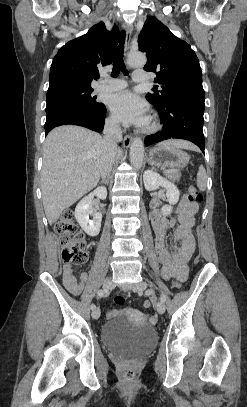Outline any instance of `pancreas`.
I'll list each match as a JSON object with an SVG mask.
<instances>
[{
    "instance_id": "1",
    "label": "pancreas",
    "mask_w": 247,
    "mask_h": 407,
    "mask_svg": "<svg viewBox=\"0 0 247 407\" xmlns=\"http://www.w3.org/2000/svg\"><path fill=\"white\" fill-rule=\"evenodd\" d=\"M165 176L170 179L171 181H179L181 174L175 170H166Z\"/></svg>"
}]
</instances>
